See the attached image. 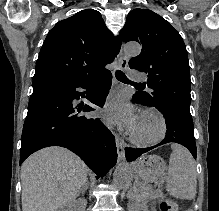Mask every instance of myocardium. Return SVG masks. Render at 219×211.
Listing matches in <instances>:
<instances>
[{"label": "myocardium", "mask_w": 219, "mask_h": 211, "mask_svg": "<svg viewBox=\"0 0 219 211\" xmlns=\"http://www.w3.org/2000/svg\"><path fill=\"white\" fill-rule=\"evenodd\" d=\"M146 115H154L158 119V128L157 130L151 135H141L138 134L135 130H132L130 133V138L134 143L141 144V145H149L154 144L161 140L167 129V121L165 115L157 108L149 107L144 109L139 118H142Z\"/></svg>", "instance_id": "myocardium-1"}]
</instances>
